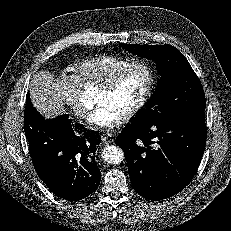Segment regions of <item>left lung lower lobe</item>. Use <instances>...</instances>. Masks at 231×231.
<instances>
[{
    "instance_id": "left-lung-lower-lobe-1",
    "label": "left lung lower lobe",
    "mask_w": 231,
    "mask_h": 231,
    "mask_svg": "<svg viewBox=\"0 0 231 231\" xmlns=\"http://www.w3.org/2000/svg\"><path fill=\"white\" fill-rule=\"evenodd\" d=\"M205 112L160 124H130L117 137L132 186L159 201L182 191L194 177L206 144Z\"/></svg>"
}]
</instances>
